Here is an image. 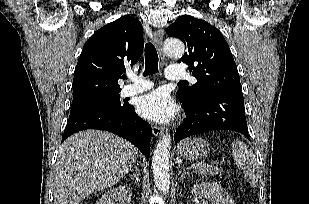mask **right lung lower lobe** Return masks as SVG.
<instances>
[{"mask_svg": "<svg viewBox=\"0 0 309 204\" xmlns=\"http://www.w3.org/2000/svg\"><path fill=\"white\" fill-rule=\"evenodd\" d=\"M85 129L117 134L139 148L146 158L150 157L151 126L135 113L133 105L126 104L121 110L86 108L71 111L62 141Z\"/></svg>", "mask_w": 309, "mask_h": 204, "instance_id": "obj_1", "label": "right lung lower lobe"}]
</instances>
